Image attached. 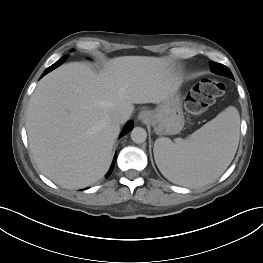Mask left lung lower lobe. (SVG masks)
<instances>
[{
	"label": "left lung lower lobe",
	"instance_id": "obj_1",
	"mask_svg": "<svg viewBox=\"0 0 263 263\" xmlns=\"http://www.w3.org/2000/svg\"><path fill=\"white\" fill-rule=\"evenodd\" d=\"M211 70L214 72L215 71V69L214 68H211Z\"/></svg>",
	"mask_w": 263,
	"mask_h": 263
}]
</instances>
